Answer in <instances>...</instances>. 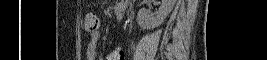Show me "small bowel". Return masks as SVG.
Wrapping results in <instances>:
<instances>
[{"label": "small bowel", "mask_w": 267, "mask_h": 60, "mask_svg": "<svg viewBox=\"0 0 267 60\" xmlns=\"http://www.w3.org/2000/svg\"><path fill=\"white\" fill-rule=\"evenodd\" d=\"M122 5V4H119ZM100 43V32H94L89 35L86 48L87 60H95L97 58L98 47ZM107 60H125V55L122 51H112L106 58Z\"/></svg>", "instance_id": "obj_1"}]
</instances>
